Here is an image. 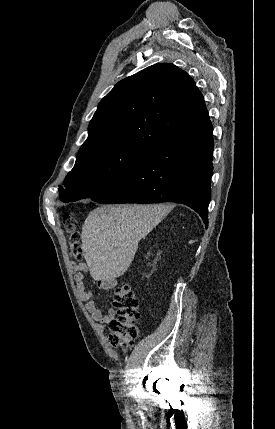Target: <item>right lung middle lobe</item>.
Instances as JSON below:
<instances>
[{
	"mask_svg": "<svg viewBox=\"0 0 275 429\" xmlns=\"http://www.w3.org/2000/svg\"><path fill=\"white\" fill-rule=\"evenodd\" d=\"M128 146H111L90 153L75 162L59 188L60 200L76 201L97 195L134 171L149 155Z\"/></svg>",
	"mask_w": 275,
	"mask_h": 429,
	"instance_id": "obj_1",
	"label": "right lung middle lobe"
}]
</instances>
